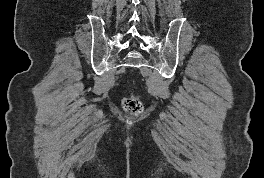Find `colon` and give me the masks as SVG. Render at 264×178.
Returning <instances> with one entry per match:
<instances>
[{
    "label": "colon",
    "mask_w": 264,
    "mask_h": 178,
    "mask_svg": "<svg viewBox=\"0 0 264 178\" xmlns=\"http://www.w3.org/2000/svg\"><path fill=\"white\" fill-rule=\"evenodd\" d=\"M124 107L131 113H139L142 110V103L135 97H129L125 99Z\"/></svg>",
    "instance_id": "1"
}]
</instances>
